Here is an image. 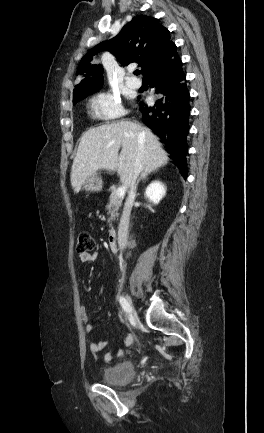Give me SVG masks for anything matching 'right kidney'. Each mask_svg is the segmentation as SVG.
<instances>
[{
	"label": "right kidney",
	"instance_id": "right-kidney-1",
	"mask_svg": "<svg viewBox=\"0 0 264 433\" xmlns=\"http://www.w3.org/2000/svg\"><path fill=\"white\" fill-rule=\"evenodd\" d=\"M166 188L160 181H153L146 189L145 196L154 204H158L164 197Z\"/></svg>",
	"mask_w": 264,
	"mask_h": 433
}]
</instances>
